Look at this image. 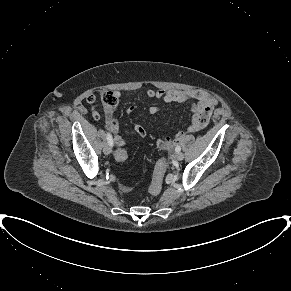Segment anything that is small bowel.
<instances>
[{
  "instance_id": "obj_1",
  "label": "small bowel",
  "mask_w": 291,
  "mask_h": 291,
  "mask_svg": "<svg viewBox=\"0 0 291 291\" xmlns=\"http://www.w3.org/2000/svg\"><path fill=\"white\" fill-rule=\"evenodd\" d=\"M117 96L120 97V93L116 92ZM146 95L149 98L162 99L166 103H191V110L193 116L189 126L187 127V132H197L207 126L209 118L217 101L211 97L208 93L199 90H164V89H148ZM86 102L89 105H93L95 102V96L89 95L86 98ZM135 110V105H131L127 108V113H131ZM160 107L157 105H152L149 108L151 114H157L160 112ZM92 116L94 119H99L100 114L96 109L92 110ZM105 120L107 128L112 132L114 142L119 148L125 146L126 141L119 135V123L116 118H114L112 111L105 112ZM136 132L140 136H145L146 131L140 125L135 126ZM184 133L179 132L174 138L168 136L158 139L157 145L162 149H172L178 142L182 139ZM124 192H129L130 188L128 186L121 187Z\"/></svg>"
}]
</instances>
